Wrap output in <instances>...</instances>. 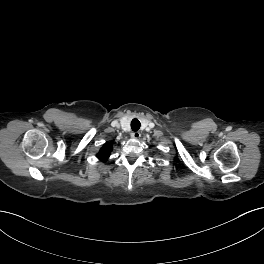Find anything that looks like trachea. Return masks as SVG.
I'll return each mask as SVG.
<instances>
[{
    "label": "trachea",
    "mask_w": 264,
    "mask_h": 264,
    "mask_svg": "<svg viewBox=\"0 0 264 264\" xmlns=\"http://www.w3.org/2000/svg\"><path fill=\"white\" fill-rule=\"evenodd\" d=\"M140 125L141 124H140V121L138 119H133L131 121V128H132L133 131H138L139 128H140Z\"/></svg>",
    "instance_id": "trachea-1"
}]
</instances>
